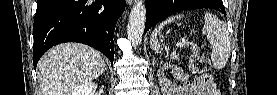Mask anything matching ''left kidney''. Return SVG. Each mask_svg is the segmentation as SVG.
<instances>
[{"label": "left kidney", "mask_w": 277, "mask_h": 95, "mask_svg": "<svg viewBox=\"0 0 277 95\" xmlns=\"http://www.w3.org/2000/svg\"><path fill=\"white\" fill-rule=\"evenodd\" d=\"M166 69V66H163L162 68H160L157 72V76H158V80H159V84L162 88V90L165 93H176L178 92L177 88L171 85L170 80H168L166 78V76L164 75V70Z\"/></svg>", "instance_id": "5707ae66"}]
</instances>
